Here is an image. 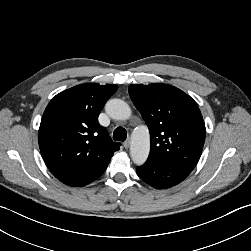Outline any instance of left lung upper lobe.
<instances>
[{
	"instance_id": "5c2ea615",
	"label": "left lung upper lobe",
	"mask_w": 251,
	"mask_h": 251,
	"mask_svg": "<svg viewBox=\"0 0 251 251\" xmlns=\"http://www.w3.org/2000/svg\"><path fill=\"white\" fill-rule=\"evenodd\" d=\"M128 90L149 128L147 162L193 170L206 134L196 102L180 89L162 83L134 84Z\"/></svg>"
}]
</instances>
